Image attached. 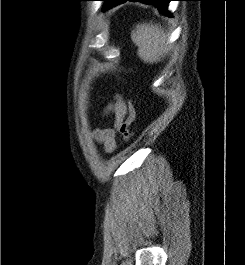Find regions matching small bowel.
I'll list each match as a JSON object with an SVG mask.
<instances>
[{
    "mask_svg": "<svg viewBox=\"0 0 245 265\" xmlns=\"http://www.w3.org/2000/svg\"><path fill=\"white\" fill-rule=\"evenodd\" d=\"M104 114L114 116V126L111 128H96L93 131V138L103 146L106 152H112L116 147L118 128L127 114V104L121 96L117 95L114 101L106 106Z\"/></svg>",
    "mask_w": 245,
    "mask_h": 265,
    "instance_id": "c3829d8e",
    "label": "small bowel"
}]
</instances>
